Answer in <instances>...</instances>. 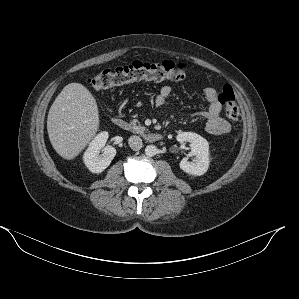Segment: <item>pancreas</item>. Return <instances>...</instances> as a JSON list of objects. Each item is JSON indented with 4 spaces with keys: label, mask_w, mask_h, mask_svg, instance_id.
<instances>
[{
    "label": "pancreas",
    "mask_w": 299,
    "mask_h": 299,
    "mask_svg": "<svg viewBox=\"0 0 299 299\" xmlns=\"http://www.w3.org/2000/svg\"><path fill=\"white\" fill-rule=\"evenodd\" d=\"M127 129L131 130L134 133L144 134L145 131H148V129L144 126H140L138 120L134 119L132 120L128 125Z\"/></svg>",
    "instance_id": "obj_1"
}]
</instances>
